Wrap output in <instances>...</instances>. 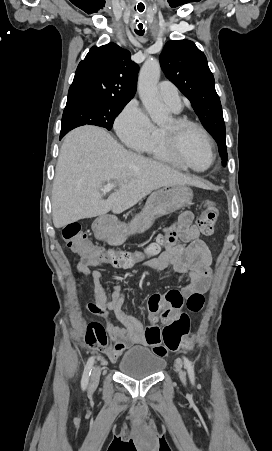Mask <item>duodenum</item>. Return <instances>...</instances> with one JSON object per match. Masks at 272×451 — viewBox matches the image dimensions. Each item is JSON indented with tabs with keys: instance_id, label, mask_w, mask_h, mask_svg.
Masks as SVG:
<instances>
[{
	"instance_id": "obj_1",
	"label": "duodenum",
	"mask_w": 272,
	"mask_h": 451,
	"mask_svg": "<svg viewBox=\"0 0 272 451\" xmlns=\"http://www.w3.org/2000/svg\"><path fill=\"white\" fill-rule=\"evenodd\" d=\"M94 232L96 235L100 238H106L107 237V227L106 223L103 220L96 221L94 225Z\"/></svg>"
}]
</instances>
